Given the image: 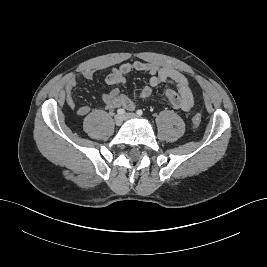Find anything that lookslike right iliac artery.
Here are the masks:
<instances>
[{"label": "right iliac artery", "instance_id": "1", "mask_svg": "<svg viewBox=\"0 0 267 267\" xmlns=\"http://www.w3.org/2000/svg\"><path fill=\"white\" fill-rule=\"evenodd\" d=\"M117 113L120 114V115H123L125 113V110L120 108L117 110Z\"/></svg>", "mask_w": 267, "mask_h": 267}]
</instances>
